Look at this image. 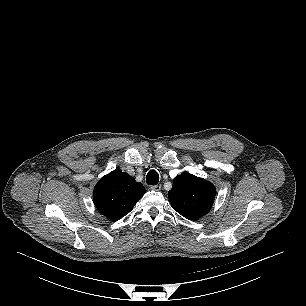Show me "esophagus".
Listing matches in <instances>:
<instances>
[{
    "label": "esophagus",
    "mask_w": 306,
    "mask_h": 306,
    "mask_svg": "<svg viewBox=\"0 0 306 306\" xmlns=\"http://www.w3.org/2000/svg\"><path fill=\"white\" fill-rule=\"evenodd\" d=\"M150 188H151L152 190H154V191H160L161 188H162V186H161L160 184H158V185H153V186H151Z\"/></svg>",
    "instance_id": "1"
}]
</instances>
